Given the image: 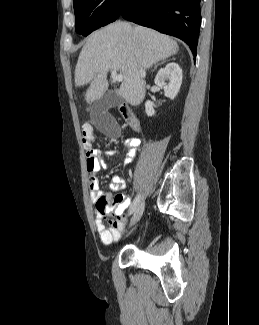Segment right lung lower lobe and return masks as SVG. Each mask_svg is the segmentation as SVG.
<instances>
[{
  "label": "right lung lower lobe",
  "instance_id": "right-lung-lower-lobe-1",
  "mask_svg": "<svg viewBox=\"0 0 259 325\" xmlns=\"http://www.w3.org/2000/svg\"><path fill=\"white\" fill-rule=\"evenodd\" d=\"M119 17L180 38L196 56L201 0H126Z\"/></svg>",
  "mask_w": 259,
  "mask_h": 325
}]
</instances>
